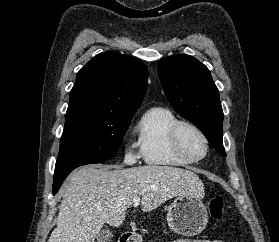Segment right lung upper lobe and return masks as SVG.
<instances>
[{
    "instance_id": "1",
    "label": "right lung upper lobe",
    "mask_w": 279,
    "mask_h": 242,
    "mask_svg": "<svg viewBox=\"0 0 279 242\" xmlns=\"http://www.w3.org/2000/svg\"><path fill=\"white\" fill-rule=\"evenodd\" d=\"M148 71L135 57L102 52L77 74L67 114L90 118L132 117L144 97Z\"/></svg>"
}]
</instances>
